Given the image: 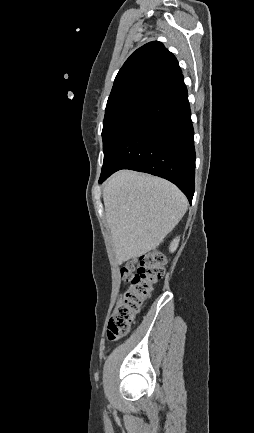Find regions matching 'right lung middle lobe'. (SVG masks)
I'll use <instances>...</instances> for the list:
<instances>
[{"mask_svg":"<svg viewBox=\"0 0 254 433\" xmlns=\"http://www.w3.org/2000/svg\"><path fill=\"white\" fill-rule=\"evenodd\" d=\"M145 102L146 101L143 100H129L106 107L102 130L104 152L103 167L122 129Z\"/></svg>","mask_w":254,"mask_h":433,"instance_id":"right-lung-middle-lobe-1","label":"right lung middle lobe"}]
</instances>
